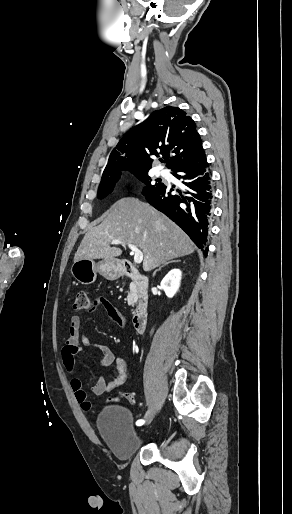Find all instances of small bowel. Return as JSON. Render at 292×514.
<instances>
[{
	"label": "small bowel",
	"mask_w": 292,
	"mask_h": 514,
	"mask_svg": "<svg viewBox=\"0 0 292 514\" xmlns=\"http://www.w3.org/2000/svg\"><path fill=\"white\" fill-rule=\"evenodd\" d=\"M97 308H103L120 326L126 327L125 320L121 317L114 304L108 298L104 296L96 297L91 304V310H95ZM89 347H95L101 352V357L98 359V364L100 366L107 367L115 363L118 373L117 376L109 382H106L102 377H98L95 384L91 387V392L94 395L102 396L126 383L131 376L127 360L123 357H116L113 350L107 344L91 343L88 336L81 334L80 317L78 315H73L69 321V336L66 339L61 352L62 363L69 373L73 374L75 372V356ZM70 386L75 393L78 403L81 405L82 411L85 413L90 412L92 406L88 398V394L84 389L82 380L73 376L70 380ZM112 396H114L115 401H118L119 398H125L130 405L135 406L137 404V401L133 399L136 396L134 391H128L127 393L125 391H116L112 393ZM112 396L108 395L106 397V405L115 404V401H112Z\"/></svg>",
	"instance_id": "c3829d8e"
}]
</instances>
